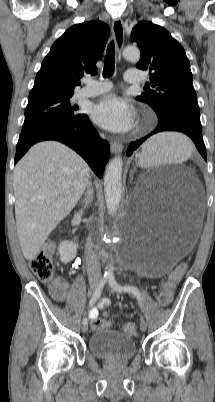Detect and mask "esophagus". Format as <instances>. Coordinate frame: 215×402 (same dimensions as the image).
Instances as JSON below:
<instances>
[{
  "instance_id": "esophagus-1",
  "label": "esophagus",
  "mask_w": 215,
  "mask_h": 402,
  "mask_svg": "<svg viewBox=\"0 0 215 402\" xmlns=\"http://www.w3.org/2000/svg\"><path fill=\"white\" fill-rule=\"evenodd\" d=\"M112 33L117 47L118 58L121 59L124 44V24L120 17L113 20ZM110 149L112 153H120L123 150V145L120 142L112 141L110 144Z\"/></svg>"
}]
</instances>
